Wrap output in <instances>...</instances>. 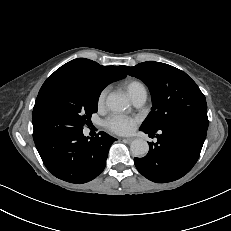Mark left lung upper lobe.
<instances>
[{
  "label": "left lung upper lobe",
  "instance_id": "obj_1",
  "mask_svg": "<svg viewBox=\"0 0 231 231\" xmlns=\"http://www.w3.org/2000/svg\"><path fill=\"white\" fill-rule=\"evenodd\" d=\"M121 68L142 80L151 92L153 106L141 127L157 130L184 117H207L205 96L185 72L155 61Z\"/></svg>",
  "mask_w": 231,
  "mask_h": 231
}]
</instances>
